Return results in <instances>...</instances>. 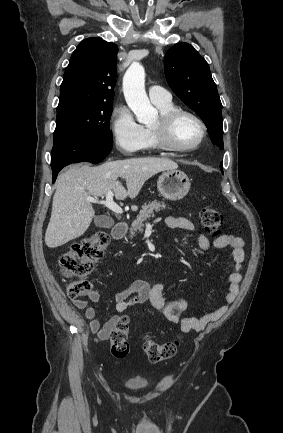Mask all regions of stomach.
I'll return each mask as SVG.
<instances>
[{
    "label": "stomach",
    "mask_w": 283,
    "mask_h": 433,
    "mask_svg": "<svg viewBox=\"0 0 283 433\" xmlns=\"http://www.w3.org/2000/svg\"><path fill=\"white\" fill-rule=\"evenodd\" d=\"M190 180L181 170H165L157 180V188L168 200H180L190 188Z\"/></svg>",
    "instance_id": "0dacf381"
}]
</instances>
